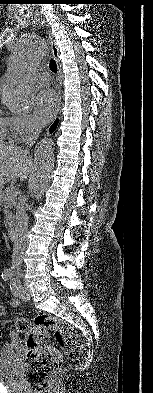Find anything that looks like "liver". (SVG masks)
Wrapping results in <instances>:
<instances>
[{
	"label": "liver",
	"mask_w": 153,
	"mask_h": 393,
	"mask_svg": "<svg viewBox=\"0 0 153 393\" xmlns=\"http://www.w3.org/2000/svg\"><path fill=\"white\" fill-rule=\"evenodd\" d=\"M32 169L28 152L14 144H0V189L13 179L24 181Z\"/></svg>",
	"instance_id": "liver-1"
}]
</instances>
